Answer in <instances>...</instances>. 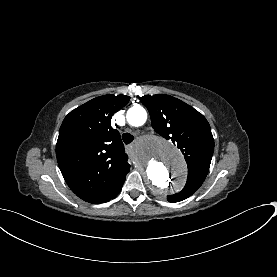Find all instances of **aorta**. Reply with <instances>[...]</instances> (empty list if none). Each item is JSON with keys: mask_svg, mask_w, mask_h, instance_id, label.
Masks as SVG:
<instances>
[{"mask_svg": "<svg viewBox=\"0 0 277 277\" xmlns=\"http://www.w3.org/2000/svg\"><path fill=\"white\" fill-rule=\"evenodd\" d=\"M126 117L130 125L138 127L146 122L147 112L142 106L131 107ZM133 160L157 197L178 190L186 180L187 169L181 152L158 136L142 137L136 144Z\"/></svg>", "mask_w": 277, "mask_h": 277, "instance_id": "aorta-1", "label": "aorta"}]
</instances>
